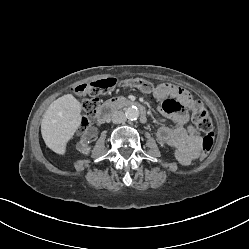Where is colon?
I'll list each match as a JSON object with an SVG mask.
<instances>
[{"mask_svg": "<svg viewBox=\"0 0 249 249\" xmlns=\"http://www.w3.org/2000/svg\"><path fill=\"white\" fill-rule=\"evenodd\" d=\"M115 84L116 81L114 79H102L81 83L73 88V92L76 95L85 97L83 104L84 113L81 117V133L88 129L91 120L97 114L99 106L98 97L107 93ZM120 85L137 88L148 94L161 95V90L158 86L143 78L125 79L120 82ZM194 121L204 134L202 138V156H206L210 152L214 142L213 122L209 112L200 102L195 108Z\"/></svg>", "mask_w": 249, "mask_h": 249, "instance_id": "1", "label": "colon"}]
</instances>
